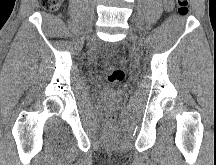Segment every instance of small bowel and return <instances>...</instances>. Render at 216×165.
I'll list each match as a JSON object with an SVG mask.
<instances>
[{
    "instance_id": "1",
    "label": "small bowel",
    "mask_w": 216,
    "mask_h": 165,
    "mask_svg": "<svg viewBox=\"0 0 216 165\" xmlns=\"http://www.w3.org/2000/svg\"><path fill=\"white\" fill-rule=\"evenodd\" d=\"M165 7L170 9L172 7V0H164Z\"/></svg>"
}]
</instances>
